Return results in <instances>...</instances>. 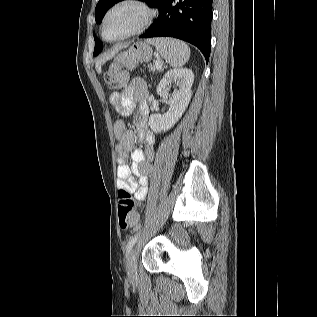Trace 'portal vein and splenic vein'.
<instances>
[{
    "label": "portal vein and splenic vein",
    "instance_id": "18ae733b",
    "mask_svg": "<svg viewBox=\"0 0 317 317\" xmlns=\"http://www.w3.org/2000/svg\"><path fill=\"white\" fill-rule=\"evenodd\" d=\"M155 66H156V68L158 70L161 69L162 68V62L159 59H157L156 62H155Z\"/></svg>",
    "mask_w": 317,
    "mask_h": 317
}]
</instances>
